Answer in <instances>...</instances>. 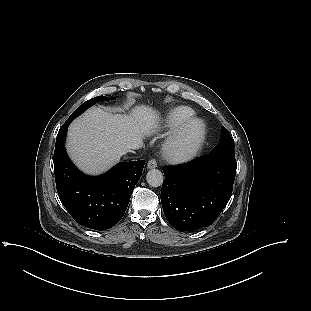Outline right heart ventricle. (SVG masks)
<instances>
[{
	"label": "right heart ventricle",
	"mask_w": 311,
	"mask_h": 311,
	"mask_svg": "<svg viewBox=\"0 0 311 311\" xmlns=\"http://www.w3.org/2000/svg\"><path fill=\"white\" fill-rule=\"evenodd\" d=\"M195 111L188 106H177L172 108L166 115L162 130L164 133H169L181 125L186 120L194 117Z\"/></svg>",
	"instance_id": "1"
}]
</instances>
